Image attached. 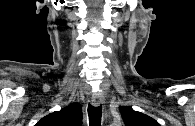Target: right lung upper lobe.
<instances>
[{
  "mask_svg": "<svg viewBox=\"0 0 195 126\" xmlns=\"http://www.w3.org/2000/svg\"><path fill=\"white\" fill-rule=\"evenodd\" d=\"M82 109L78 103H72L43 117L35 126H81Z\"/></svg>",
  "mask_w": 195,
  "mask_h": 126,
  "instance_id": "right-lung-upper-lobe-1",
  "label": "right lung upper lobe"
}]
</instances>
